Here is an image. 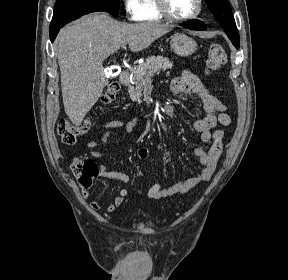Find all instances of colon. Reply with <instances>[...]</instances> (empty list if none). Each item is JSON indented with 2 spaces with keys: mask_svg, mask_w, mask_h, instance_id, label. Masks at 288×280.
Returning a JSON list of instances; mask_svg holds the SVG:
<instances>
[{
  "mask_svg": "<svg viewBox=\"0 0 288 280\" xmlns=\"http://www.w3.org/2000/svg\"><path fill=\"white\" fill-rule=\"evenodd\" d=\"M226 62V52L222 45L212 43L208 47L206 69L208 73H214L221 69ZM119 91V85L115 82L111 83L101 100L105 104L113 102ZM90 127V123L85 121L81 125H74L70 121L62 119L57 126V132L64 144L72 145L76 142L78 136L85 134ZM71 170L77 179L78 184L87 189L92 185L93 179L98 174L97 164L90 159L75 157L71 162Z\"/></svg>",
  "mask_w": 288,
  "mask_h": 280,
  "instance_id": "colon-1",
  "label": "colon"
}]
</instances>
